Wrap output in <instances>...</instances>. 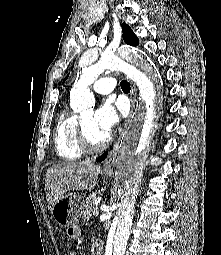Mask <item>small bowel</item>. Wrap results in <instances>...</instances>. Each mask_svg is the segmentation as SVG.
<instances>
[{
    "label": "small bowel",
    "mask_w": 221,
    "mask_h": 255,
    "mask_svg": "<svg viewBox=\"0 0 221 255\" xmlns=\"http://www.w3.org/2000/svg\"><path fill=\"white\" fill-rule=\"evenodd\" d=\"M67 233L71 239H77L81 236V229L79 226L74 225V226H71L70 228H68ZM69 255H76V254L74 252H71V253H69Z\"/></svg>",
    "instance_id": "1"
}]
</instances>
